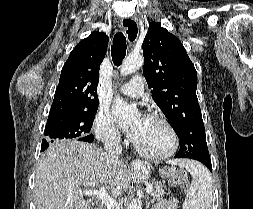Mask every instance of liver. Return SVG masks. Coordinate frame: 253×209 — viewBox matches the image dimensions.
<instances>
[{"mask_svg": "<svg viewBox=\"0 0 253 209\" xmlns=\"http://www.w3.org/2000/svg\"><path fill=\"white\" fill-rule=\"evenodd\" d=\"M146 178L143 164L131 172L123 162H110L107 153L94 144L63 140L41 155L34 197L37 209H93L81 188L104 187L117 197L131 180Z\"/></svg>", "mask_w": 253, "mask_h": 209, "instance_id": "obj_1", "label": "liver"}]
</instances>
